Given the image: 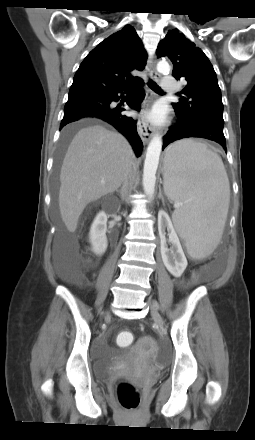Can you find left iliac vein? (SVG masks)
<instances>
[{
	"label": "left iliac vein",
	"instance_id": "obj_1",
	"mask_svg": "<svg viewBox=\"0 0 255 440\" xmlns=\"http://www.w3.org/2000/svg\"><path fill=\"white\" fill-rule=\"evenodd\" d=\"M149 305H150V309H151L152 318L160 326V328H163L164 321H163L161 315L159 314V312H158V310L156 308V305L155 304H151V302H149Z\"/></svg>",
	"mask_w": 255,
	"mask_h": 440
}]
</instances>
